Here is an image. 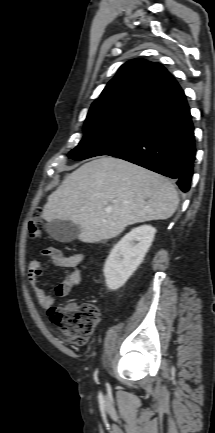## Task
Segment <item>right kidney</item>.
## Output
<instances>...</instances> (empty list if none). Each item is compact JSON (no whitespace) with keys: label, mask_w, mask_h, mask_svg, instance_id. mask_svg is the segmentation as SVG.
Returning <instances> with one entry per match:
<instances>
[{"label":"right kidney","mask_w":215,"mask_h":433,"mask_svg":"<svg viewBox=\"0 0 215 433\" xmlns=\"http://www.w3.org/2000/svg\"><path fill=\"white\" fill-rule=\"evenodd\" d=\"M156 229L150 225L134 228L111 250L105 265L104 276L110 290L122 287L142 263Z\"/></svg>","instance_id":"ca27d5eb"}]
</instances>
